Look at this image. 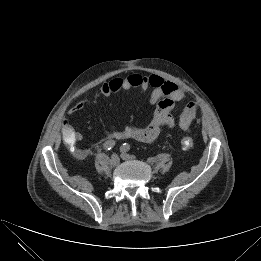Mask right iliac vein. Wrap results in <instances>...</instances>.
Segmentation results:
<instances>
[{
  "label": "right iliac vein",
  "instance_id": "obj_1",
  "mask_svg": "<svg viewBox=\"0 0 261 261\" xmlns=\"http://www.w3.org/2000/svg\"><path fill=\"white\" fill-rule=\"evenodd\" d=\"M120 162V159H119V156L117 154H113L110 159H109V164L110 166L112 167H115L119 164Z\"/></svg>",
  "mask_w": 261,
  "mask_h": 261
}]
</instances>
